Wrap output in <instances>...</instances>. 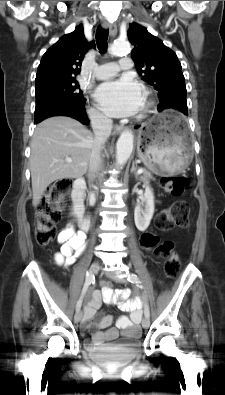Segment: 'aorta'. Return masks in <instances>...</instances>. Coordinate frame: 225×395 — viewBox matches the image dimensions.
<instances>
[{"label":"aorta","instance_id":"aorta-1","mask_svg":"<svg viewBox=\"0 0 225 395\" xmlns=\"http://www.w3.org/2000/svg\"><path fill=\"white\" fill-rule=\"evenodd\" d=\"M131 51L129 42L117 40L110 47L112 55L128 54ZM134 136L131 131H123L116 144V163L119 166L124 165L129 159L133 150Z\"/></svg>","mask_w":225,"mask_h":395}]
</instances>
